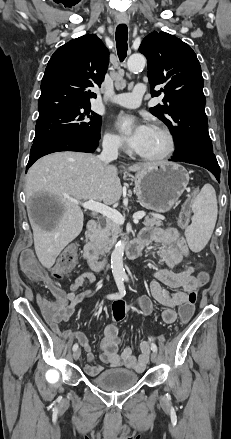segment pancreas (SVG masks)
I'll return each mask as SVG.
<instances>
[{
  "label": "pancreas",
  "instance_id": "cf45deb5",
  "mask_svg": "<svg viewBox=\"0 0 231 439\" xmlns=\"http://www.w3.org/2000/svg\"><path fill=\"white\" fill-rule=\"evenodd\" d=\"M143 224L145 226H162V220L156 217H145ZM122 234L121 226L111 219L106 218L105 223L99 224L93 235V241L99 251L103 254L108 252L117 238Z\"/></svg>",
  "mask_w": 231,
  "mask_h": 439
}]
</instances>
